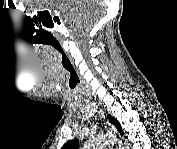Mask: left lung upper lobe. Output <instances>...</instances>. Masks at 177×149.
<instances>
[{"label": "left lung upper lobe", "instance_id": "left-lung-upper-lobe-1", "mask_svg": "<svg viewBox=\"0 0 177 149\" xmlns=\"http://www.w3.org/2000/svg\"><path fill=\"white\" fill-rule=\"evenodd\" d=\"M108 119H109L110 123L114 124L116 126L117 130L123 134V131L121 129V125L119 124V122L111 115L108 116ZM78 144H79V141L77 139H74V140L68 141L66 144H64V146L62 148H64V149H77Z\"/></svg>", "mask_w": 177, "mask_h": 149}]
</instances>
